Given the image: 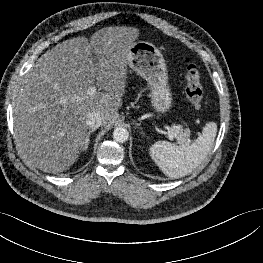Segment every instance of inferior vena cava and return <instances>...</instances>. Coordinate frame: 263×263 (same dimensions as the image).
<instances>
[{
  "label": "inferior vena cava",
  "mask_w": 263,
  "mask_h": 263,
  "mask_svg": "<svg viewBox=\"0 0 263 263\" xmlns=\"http://www.w3.org/2000/svg\"><path fill=\"white\" fill-rule=\"evenodd\" d=\"M88 128L97 129L103 124V115L100 112H91L87 116Z\"/></svg>",
  "instance_id": "obj_1"
}]
</instances>
